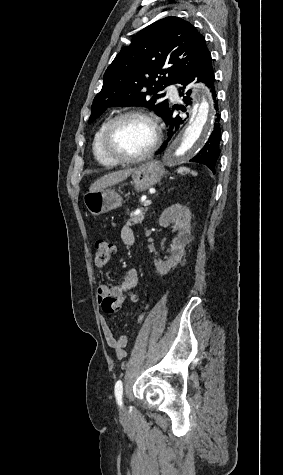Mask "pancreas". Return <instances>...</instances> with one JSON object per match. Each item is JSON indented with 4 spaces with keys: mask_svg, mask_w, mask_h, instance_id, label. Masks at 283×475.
Listing matches in <instances>:
<instances>
[{
    "mask_svg": "<svg viewBox=\"0 0 283 475\" xmlns=\"http://www.w3.org/2000/svg\"><path fill=\"white\" fill-rule=\"evenodd\" d=\"M145 212H147V208H140V214H130V220H127L126 226H135V224H142Z\"/></svg>",
    "mask_w": 283,
    "mask_h": 475,
    "instance_id": "1",
    "label": "pancreas"
}]
</instances>
